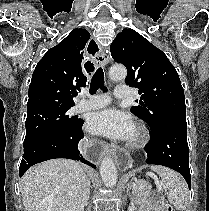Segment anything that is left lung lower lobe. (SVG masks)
<instances>
[{"instance_id":"obj_1","label":"left lung lower lobe","mask_w":209,"mask_h":211,"mask_svg":"<svg viewBox=\"0 0 209 211\" xmlns=\"http://www.w3.org/2000/svg\"><path fill=\"white\" fill-rule=\"evenodd\" d=\"M186 120H175L163 125L145 147L147 164L169 167L179 172L190 188L189 147Z\"/></svg>"}]
</instances>
